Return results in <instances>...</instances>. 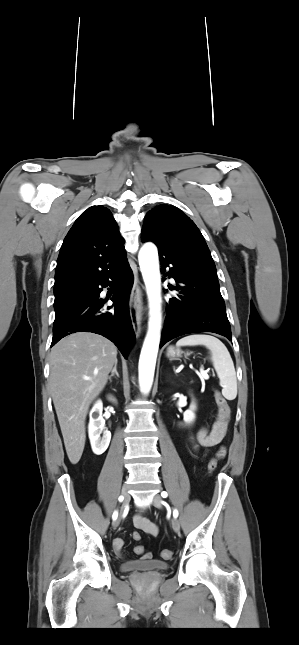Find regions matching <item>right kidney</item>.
<instances>
[{
    "label": "right kidney",
    "mask_w": 299,
    "mask_h": 645,
    "mask_svg": "<svg viewBox=\"0 0 299 645\" xmlns=\"http://www.w3.org/2000/svg\"><path fill=\"white\" fill-rule=\"evenodd\" d=\"M110 400L115 401L110 398ZM103 404L98 400L90 411V421L88 425V434L92 451L96 455H101L106 451L111 440V433L105 430V420L102 417ZM101 434L102 437L100 436Z\"/></svg>",
    "instance_id": "1"
}]
</instances>
